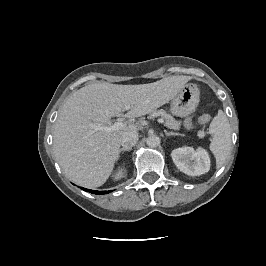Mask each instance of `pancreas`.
I'll list each match as a JSON object with an SVG mask.
<instances>
[{"label":"pancreas","instance_id":"1","mask_svg":"<svg viewBox=\"0 0 266 266\" xmlns=\"http://www.w3.org/2000/svg\"><path fill=\"white\" fill-rule=\"evenodd\" d=\"M161 117L164 119V124L166 127L173 129V130H179L181 126V122L175 120L170 114H168L164 110H159L154 113V117Z\"/></svg>","mask_w":266,"mask_h":266}]
</instances>
